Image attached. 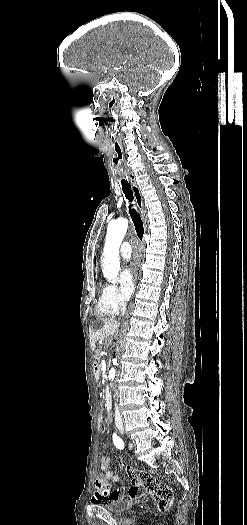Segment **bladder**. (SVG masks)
Returning <instances> with one entry per match:
<instances>
[{"mask_svg":"<svg viewBox=\"0 0 247 525\" xmlns=\"http://www.w3.org/2000/svg\"><path fill=\"white\" fill-rule=\"evenodd\" d=\"M100 506L102 509L112 515L123 514L128 511V507L125 506V502L123 500L102 503Z\"/></svg>","mask_w":247,"mask_h":525,"instance_id":"obj_1","label":"bladder"}]
</instances>
